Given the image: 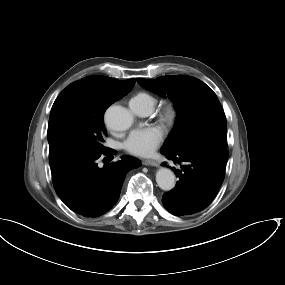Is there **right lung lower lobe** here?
Masks as SVG:
<instances>
[{
  "label": "right lung lower lobe",
  "mask_w": 285,
  "mask_h": 285,
  "mask_svg": "<svg viewBox=\"0 0 285 285\" xmlns=\"http://www.w3.org/2000/svg\"><path fill=\"white\" fill-rule=\"evenodd\" d=\"M110 154L116 151L107 148L102 153L77 156L51 168L55 191L73 212L91 218L105 214L118 201L126 173L141 165L138 159L124 156L99 168L97 159Z\"/></svg>",
  "instance_id": "1"
}]
</instances>
